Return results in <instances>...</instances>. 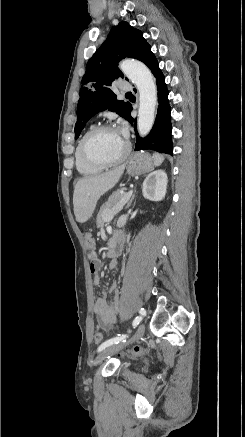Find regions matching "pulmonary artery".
I'll return each instance as SVG.
<instances>
[{"instance_id":"obj_1","label":"pulmonary artery","mask_w":245,"mask_h":437,"mask_svg":"<svg viewBox=\"0 0 245 437\" xmlns=\"http://www.w3.org/2000/svg\"><path fill=\"white\" fill-rule=\"evenodd\" d=\"M119 89L121 92H127V91H130L132 89V86L128 82L124 81V82H121L119 84Z\"/></svg>"}]
</instances>
